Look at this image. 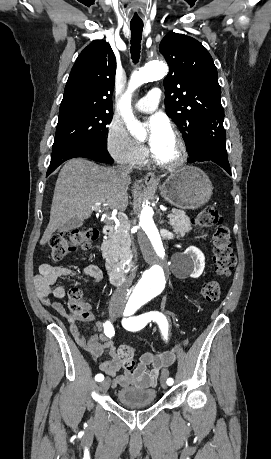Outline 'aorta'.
Masks as SVG:
<instances>
[{
	"mask_svg": "<svg viewBox=\"0 0 271 459\" xmlns=\"http://www.w3.org/2000/svg\"><path fill=\"white\" fill-rule=\"evenodd\" d=\"M168 68L162 61H151L131 76L127 92L123 95L120 107L129 130L141 137L144 130L135 120L131 110V93L144 83L162 79ZM133 215L136 220L137 239L147 263L136 288L148 296L159 295L165 288L168 272L167 247L163 242L155 221L153 203L143 191L136 192L133 202Z\"/></svg>",
	"mask_w": 271,
	"mask_h": 459,
	"instance_id": "762f6f07",
	"label": "aorta"
}]
</instances>
